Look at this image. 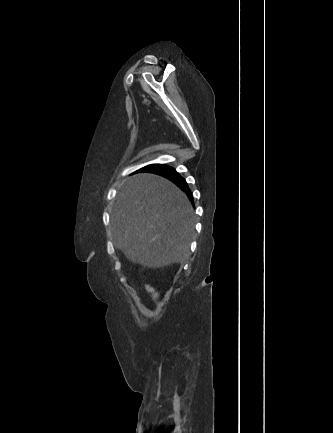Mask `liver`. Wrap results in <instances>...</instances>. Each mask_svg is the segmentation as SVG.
Instances as JSON below:
<instances>
[{
  "mask_svg": "<svg viewBox=\"0 0 333 433\" xmlns=\"http://www.w3.org/2000/svg\"><path fill=\"white\" fill-rule=\"evenodd\" d=\"M193 215L188 197L172 182L149 173L134 175L122 183L111 212L114 244L144 267L184 262Z\"/></svg>",
  "mask_w": 333,
  "mask_h": 433,
  "instance_id": "1",
  "label": "liver"
}]
</instances>
